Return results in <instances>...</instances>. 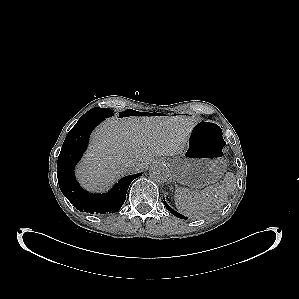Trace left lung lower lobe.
Masks as SVG:
<instances>
[{"mask_svg":"<svg viewBox=\"0 0 299 299\" xmlns=\"http://www.w3.org/2000/svg\"><path fill=\"white\" fill-rule=\"evenodd\" d=\"M164 205L166 206V208L176 217L181 218V219H186L187 217L179 214L178 212L174 211L164 200Z\"/></svg>","mask_w":299,"mask_h":299,"instance_id":"left-lung-lower-lobe-1","label":"left lung lower lobe"}]
</instances>
